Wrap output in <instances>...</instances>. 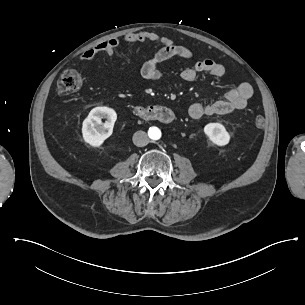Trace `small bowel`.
<instances>
[{"mask_svg":"<svg viewBox=\"0 0 305 305\" xmlns=\"http://www.w3.org/2000/svg\"><path fill=\"white\" fill-rule=\"evenodd\" d=\"M127 43L141 44L145 42L157 43L161 46L158 52L141 67V75L149 81H157L162 77L160 64L172 57L184 59L192 58L193 54L190 49L184 46L176 45L169 37L151 31H140L129 33L124 36ZM120 46V41L116 38H109L107 41L98 42L91 49L84 51L85 59L90 60L93 56L107 52ZM207 72L213 77L221 78L226 74V68L223 64L210 58L196 61L192 66L182 72V79L186 82H193L200 73ZM253 95L252 86L243 81L236 87L229 89L224 99L210 102L198 101L190 105L188 113L194 119L206 115L224 114L233 110L245 108L248 100Z\"/></svg>","mask_w":305,"mask_h":305,"instance_id":"c3829d8e","label":"small bowel"}]
</instances>
